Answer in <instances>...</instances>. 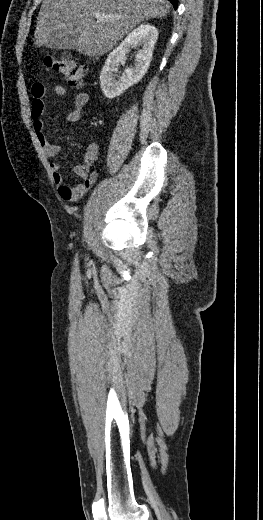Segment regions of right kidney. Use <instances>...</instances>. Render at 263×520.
Instances as JSON below:
<instances>
[{
  "instance_id": "obj_1",
  "label": "right kidney",
  "mask_w": 263,
  "mask_h": 520,
  "mask_svg": "<svg viewBox=\"0 0 263 520\" xmlns=\"http://www.w3.org/2000/svg\"><path fill=\"white\" fill-rule=\"evenodd\" d=\"M158 30L150 24H142L133 30L107 57L100 74V84L103 94L113 99L125 90L138 83L146 74L152 59L154 45L158 38ZM141 46L135 56L134 67L125 69L121 77H117L119 62L132 47Z\"/></svg>"
}]
</instances>
